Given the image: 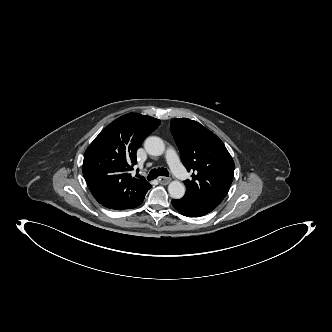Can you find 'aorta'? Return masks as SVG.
<instances>
[{"label":"aorta","instance_id":"762f6f07","mask_svg":"<svg viewBox=\"0 0 332 332\" xmlns=\"http://www.w3.org/2000/svg\"><path fill=\"white\" fill-rule=\"evenodd\" d=\"M144 148L149 155L160 156L165 151V144L163 140L156 136L146 138ZM168 192L174 199H180L185 194V186L179 181H172L168 185Z\"/></svg>","mask_w":332,"mask_h":332}]
</instances>
